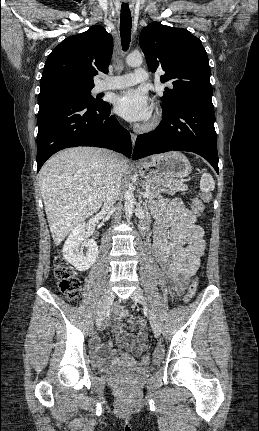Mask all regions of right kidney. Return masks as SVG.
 Returning a JSON list of instances; mask_svg holds the SVG:
<instances>
[{"label":"right kidney","instance_id":"obj_1","mask_svg":"<svg viewBox=\"0 0 259 431\" xmlns=\"http://www.w3.org/2000/svg\"><path fill=\"white\" fill-rule=\"evenodd\" d=\"M85 229V223L78 224L69 234L62 250L65 260L78 271L88 270L98 256L97 243L93 239L87 238ZM83 246H86V252H83Z\"/></svg>","mask_w":259,"mask_h":431}]
</instances>
